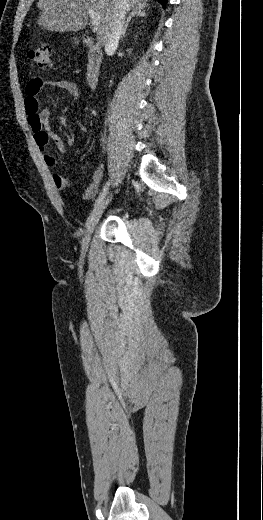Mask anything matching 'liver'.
<instances>
[{
    "label": "liver",
    "instance_id": "1",
    "mask_svg": "<svg viewBox=\"0 0 263 520\" xmlns=\"http://www.w3.org/2000/svg\"><path fill=\"white\" fill-rule=\"evenodd\" d=\"M129 9L146 7L148 0H128ZM74 4V6H70ZM116 0H39V27L48 31H79L88 23V10L100 16L98 40L105 44L113 22Z\"/></svg>",
    "mask_w": 263,
    "mask_h": 520
}]
</instances>
